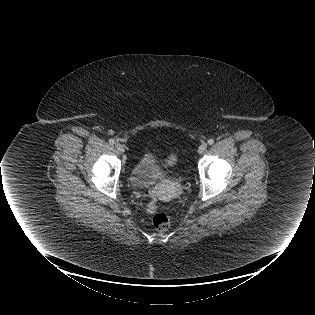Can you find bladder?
Here are the masks:
<instances>
[{"instance_id": "31cf9c89", "label": "bladder", "mask_w": 315, "mask_h": 315, "mask_svg": "<svg viewBox=\"0 0 315 315\" xmlns=\"http://www.w3.org/2000/svg\"><path fill=\"white\" fill-rule=\"evenodd\" d=\"M163 177V172L157 162L156 156L145 152L132 166L129 172V183L133 187H150Z\"/></svg>"}]
</instances>
